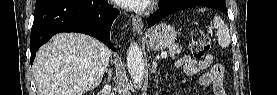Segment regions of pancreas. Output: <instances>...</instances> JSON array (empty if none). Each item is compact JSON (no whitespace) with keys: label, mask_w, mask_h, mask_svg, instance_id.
I'll list each match as a JSON object with an SVG mask.
<instances>
[{"label":"pancreas","mask_w":277,"mask_h":95,"mask_svg":"<svg viewBox=\"0 0 277 95\" xmlns=\"http://www.w3.org/2000/svg\"><path fill=\"white\" fill-rule=\"evenodd\" d=\"M180 51H181V48L178 45L172 44L169 46L168 54L171 58H174L176 54H178Z\"/></svg>","instance_id":"pancreas-1"}]
</instances>
